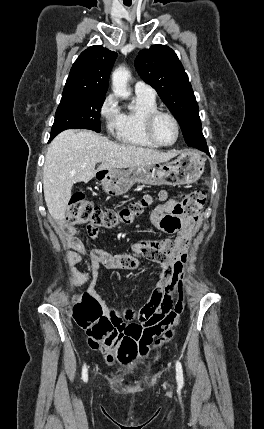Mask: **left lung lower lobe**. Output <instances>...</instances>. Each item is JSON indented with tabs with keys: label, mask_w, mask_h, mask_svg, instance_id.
<instances>
[{
	"label": "left lung lower lobe",
	"mask_w": 264,
	"mask_h": 429,
	"mask_svg": "<svg viewBox=\"0 0 264 429\" xmlns=\"http://www.w3.org/2000/svg\"><path fill=\"white\" fill-rule=\"evenodd\" d=\"M195 148L200 149V150H202L204 152H206V149H207V147H195Z\"/></svg>",
	"instance_id": "left-lung-lower-lobe-1"
}]
</instances>
